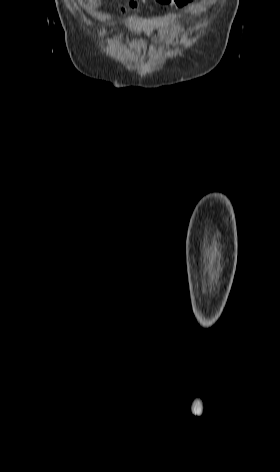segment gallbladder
<instances>
[{"mask_svg": "<svg viewBox=\"0 0 280 472\" xmlns=\"http://www.w3.org/2000/svg\"><path fill=\"white\" fill-rule=\"evenodd\" d=\"M94 6H98L100 4V0H90Z\"/></svg>", "mask_w": 280, "mask_h": 472, "instance_id": "obj_1", "label": "gallbladder"}]
</instances>
